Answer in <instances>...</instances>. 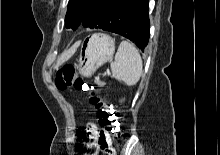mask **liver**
<instances>
[{
  "instance_id": "6515ba94",
  "label": "liver",
  "mask_w": 220,
  "mask_h": 155,
  "mask_svg": "<svg viewBox=\"0 0 220 155\" xmlns=\"http://www.w3.org/2000/svg\"><path fill=\"white\" fill-rule=\"evenodd\" d=\"M80 42H78L77 44H75L69 51L65 52L64 54H62V56L58 59L57 61V65L56 67L60 66L62 63H64L65 61H67L71 56H73V54L75 53V51L77 50L78 46H79Z\"/></svg>"
}]
</instances>
